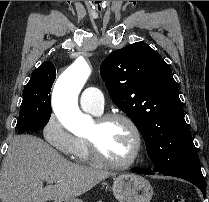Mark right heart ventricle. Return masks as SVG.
Segmentation results:
<instances>
[{
  "label": "right heart ventricle",
  "instance_id": "right-heart-ventricle-1",
  "mask_svg": "<svg viewBox=\"0 0 209 202\" xmlns=\"http://www.w3.org/2000/svg\"><path fill=\"white\" fill-rule=\"evenodd\" d=\"M71 157L77 162L86 163L91 159L85 139H79Z\"/></svg>",
  "mask_w": 209,
  "mask_h": 202
}]
</instances>
